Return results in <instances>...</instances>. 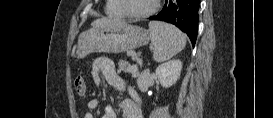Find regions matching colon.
Listing matches in <instances>:
<instances>
[{"mask_svg": "<svg viewBox=\"0 0 273 118\" xmlns=\"http://www.w3.org/2000/svg\"><path fill=\"white\" fill-rule=\"evenodd\" d=\"M74 89L77 95L83 96L86 92L85 79L82 76H78L74 81Z\"/></svg>", "mask_w": 273, "mask_h": 118, "instance_id": "obj_1", "label": "colon"}]
</instances>
